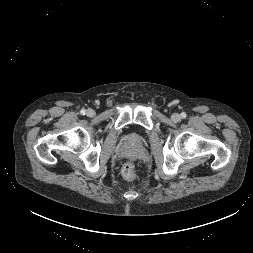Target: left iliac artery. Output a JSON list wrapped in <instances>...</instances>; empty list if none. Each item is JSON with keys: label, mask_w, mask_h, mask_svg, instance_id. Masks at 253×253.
<instances>
[{"label": "left iliac artery", "mask_w": 253, "mask_h": 253, "mask_svg": "<svg viewBox=\"0 0 253 253\" xmlns=\"http://www.w3.org/2000/svg\"><path fill=\"white\" fill-rule=\"evenodd\" d=\"M181 117H182V118H186V113L182 112V113H181Z\"/></svg>", "instance_id": "left-iliac-artery-1"}]
</instances>
